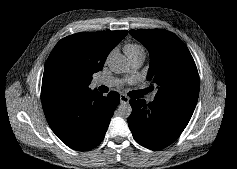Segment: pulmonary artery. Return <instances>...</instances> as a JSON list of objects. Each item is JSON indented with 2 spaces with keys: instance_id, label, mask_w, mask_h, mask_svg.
I'll list each match as a JSON object with an SVG mask.
<instances>
[{
  "instance_id": "pulmonary-artery-1",
  "label": "pulmonary artery",
  "mask_w": 237,
  "mask_h": 169,
  "mask_svg": "<svg viewBox=\"0 0 237 169\" xmlns=\"http://www.w3.org/2000/svg\"><path fill=\"white\" fill-rule=\"evenodd\" d=\"M143 61H144V58L139 57V58L133 59L131 62L134 67H139L143 63ZM116 83H117L116 80L112 78H108V77L100 78L93 82L95 86H99V85L114 86ZM153 99L154 97L151 96L149 98V101H152Z\"/></svg>"
}]
</instances>
